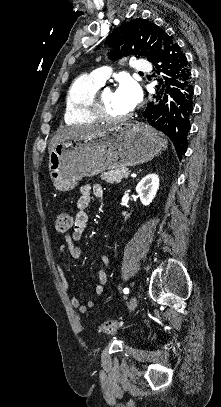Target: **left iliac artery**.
<instances>
[{
	"mask_svg": "<svg viewBox=\"0 0 221 407\" xmlns=\"http://www.w3.org/2000/svg\"><path fill=\"white\" fill-rule=\"evenodd\" d=\"M123 291H124L125 294H128V293H129V289H128V288H124Z\"/></svg>",
	"mask_w": 221,
	"mask_h": 407,
	"instance_id": "1",
	"label": "left iliac artery"
}]
</instances>
